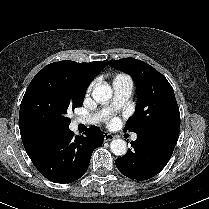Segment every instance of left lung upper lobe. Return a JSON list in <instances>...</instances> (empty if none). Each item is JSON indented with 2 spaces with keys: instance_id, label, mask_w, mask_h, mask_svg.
I'll list each match as a JSON object with an SVG mask.
<instances>
[{
  "instance_id": "1",
  "label": "left lung upper lobe",
  "mask_w": 209,
  "mask_h": 209,
  "mask_svg": "<svg viewBox=\"0 0 209 209\" xmlns=\"http://www.w3.org/2000/svg\"><path fill=\"white\" fill-rule=\"evenodd\" d=\"M107 64L131 75L137 86L136 110L124 131L179 133L180 112L174 91L161 73L134 58L112 60Z\"/></svg>"
}]
</instances>
